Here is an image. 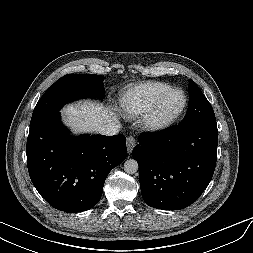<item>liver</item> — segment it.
<instances>
[{"mask_svg":"<svg viewBox=\"0 0 253 253\" xmlns=\"http://www.w3.org/2000/svg\"><path fill=\"white\" fill-rule=\"evenodd\" d=\"M63 114L66 125L75 133L97 131L98 127L112 121L118 123L117 115L112 109L89 100L68 105Z\"/></svg>","mask_w":253,"mask_h":253,"instance_id":"1","label":"liver"}]
</instances>
